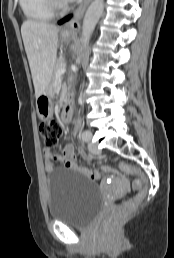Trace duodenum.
<instances>
[{"label": "duodenum", "mask_w": 174, "mask_h": 258, "mask_svg": "<svg viewBox=\"0 0 174 258\" xmlns=\"http://www.w3.org/2000/svg\"><path fill=\"white\" fill-rule=\"evenodd\" d=\"M62 118L65 121H69L72 118V102L71 101L65 102L63 109H62Z\"/></svg>", "instance_id": "duodenum-1"}]
</instances>
